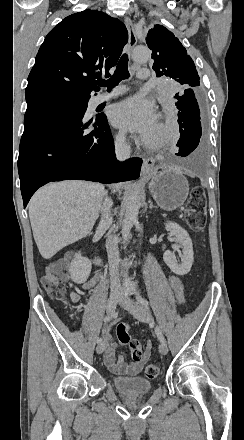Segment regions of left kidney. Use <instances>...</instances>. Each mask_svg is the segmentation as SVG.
Instances as JSON below:
<instances>
[{"instance_id": "left-kidney-1", "label": "left kidney", "mask_w": 244, "mask_h": 440, "mask_svg": "<svg viewBox=\"0 0 244 440\" xmlns=\"http://www.w3.org/2000/svg\"><path fill=\"white\" fill-rule=\"evenodd\" d=\"M165 230H167V232H171V234H174L177 244H180L181 248H183V256L181 258V262H177L173 254H171L169 250H166V252L163 254V260L165 264H167L168 268H170L171 272H174V274H177V276H185V274L190 272L192 262L194 260L192 240L188 232L183 230L179 224H174V222H167V224H165Z\"/></svg>"}]
</instances>
